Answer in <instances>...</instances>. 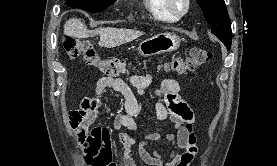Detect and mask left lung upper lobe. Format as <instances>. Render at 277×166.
<instances>
[{
    "label": "left lung upper lobe",
    "mask_w": 277,
    "mask_h": 166,
    "mask_svg": "<svg viewBox=\"0 0 277 166\" xmlns=\"http://www.w3.org/2000/svg\"><path fill=\"white\" fill-rule=\"evenodd\" d=\"M197 2L211 26L212 33L229 50L231 47L232 31L224 0H197Z\"/></svg>",
    "instance_id": "1"
}]
</instances>
